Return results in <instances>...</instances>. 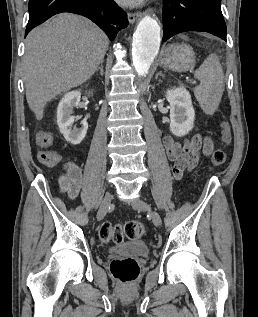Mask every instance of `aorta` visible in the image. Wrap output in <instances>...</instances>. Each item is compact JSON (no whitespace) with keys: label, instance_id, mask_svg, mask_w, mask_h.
Segmentation results:
<instances>
[{"label":"aorta","instance_id":"obj_1","mask_svg":"<svg viewBox=\"0 0 258 317\" xmlns=\"http://www.w3.org/2000/svg\"><path fill=\"white\" fill-rule=\"evenodd\" d=\"M161 29L158 22L145 16L139 22L133 35L132 60L139 76H145L158 54L161 42Z\"/></svg>","mask_w":258,"mask_h":317}]
</instances>
